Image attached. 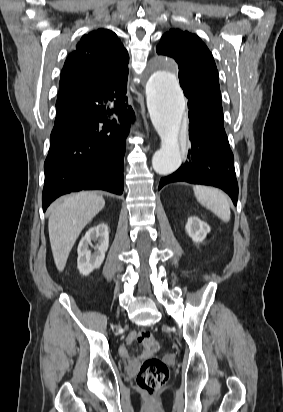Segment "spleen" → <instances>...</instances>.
<instances>
[{
	"mask_svg": "<svg viewBox=\"0 0 283 412\" xmlns=\"http://www.w3.org/2000/svg\"><path fill=\"white\" fill-rule=\"evenodd\" d=\"M193 191L197 201L202 206L212 211L224 222L230 220L229 201L221 191L200 185L194 186Z\"/></svg>",
	"mask_w": 283,
	"mask_h": 412,
	"instance_id": "1",
	"label": "spleen"
}]
</instances>
